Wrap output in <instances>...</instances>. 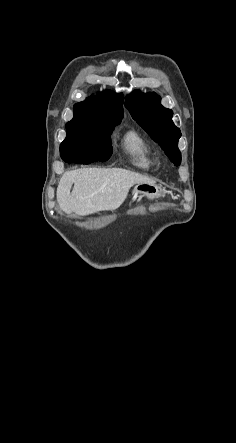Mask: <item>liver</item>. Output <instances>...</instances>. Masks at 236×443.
I'll return each instance as SVG.
<instances>
[{
    "mask_svg": "<svg viewBox=\"0 0 236 443\" xmlns=\"http://www.w3.org/2000/svg\"><path fill=\"white\" fill-rule=\"evenodd\" d=\"M73 190L70 193L71 187ZM135 184L155 185L147 176L119 168H85L65 172L57 188V202L65 213L89 215L113 211Z\"/></svg>",
    "mask_w": 236,
    "mask_h": 443,
    "instance_id": "1",
    "label": "liver"
}]
</instances>
